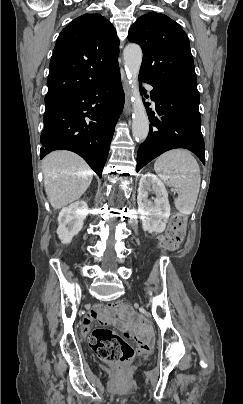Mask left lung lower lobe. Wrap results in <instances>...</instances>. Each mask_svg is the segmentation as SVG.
I'll return each instance as SVG.
<instances>
[{
	"instance_id": "obj_1",
	"label": "left lung lower lobe",
	"mask_w": 243,
	"mask_h": 404,
	"mask_svg": "<svg viewBox=\"0 0 243 404\" xmlns=\"http://www.w3.org/2000/svg\"><path fill=\"white\" fill-rule=\"evenodd\" d=\"M139 79L153 86L150 95L155 101L156 114L151 113L149 104H146L150 131L138 150L137 171L155 157L174 148L192 151L205 164L198 90L158 84L142 77ZM140 90L142 94L146 93L142 87Z\"/></svg>"
}]
</instances>
